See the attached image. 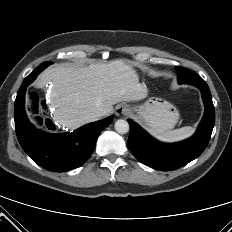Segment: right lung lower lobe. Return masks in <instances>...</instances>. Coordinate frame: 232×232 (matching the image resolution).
Segmentation results:
<instances>
[{"instance_id":"98d812e1","label":"right lung lower lobe","mask_w":232,"mask_h":232,"mask_svg":"<svg viewBox=\"0 0 232 232\" xmlns=\"http://www.w3.org/2000/svg\"><path fill=\"white\" fill-rule=\"evenodd\" d=\"M27 76L15 100V129L23 150L45 169L64 172L83 165L92 154L100 132L113 118L87 124L72 133L50 134L36 129L27 119L24 109L26 87L40 73Z\"/></svg>"}]
</instances>
